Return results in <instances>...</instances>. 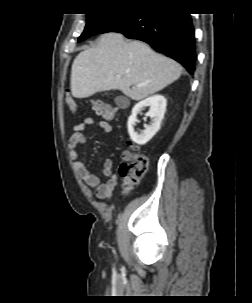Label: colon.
<instances>
[{
	"label": "colon",
	"mask_w": 252,
	"mask_h": 303,
	"mask_svg": "<svg viewBox=\"0 0 252 303\" xmlns=\"http://www.w3.org/2000/svg\"><path fill=\"white\" fill-rule=\"evenodd\" d=\"M65 104L71 112L76 111L77 104L73 97L66 98ZM92 106L107 122L111 121L117 112L114 106L101 100H93ZM147 168L148 159L146 155L135 151H126L123 153L119 174L123 178L125 192L138 183L140 178L146 173Z\"/></svg>",
	"instance_id": "obj_1"
}]
</instances>
